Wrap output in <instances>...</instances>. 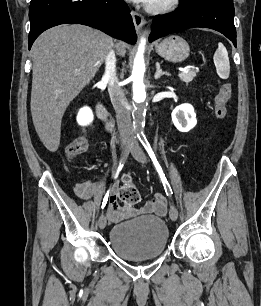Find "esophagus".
Instances as JSON below:
<instances>
[{
	"label": "esophagus",
	"mask_w": 261,
	"mask_h": 306,
	"mask_svg": "<svg viewBox=\"0 0 261 306\" xmlns=\"http://www.w3.org/2000/svg\"><path fill=\"white\" fill-rule=\"evenodd\" d=\"M131 15H132L133 22H134L136 30L140 31L142 26L145 23L144 17L140 13H138L134 10L131 11Z\"/></svg>",
	"instance_id": "34e87169"
}]
</instances>
